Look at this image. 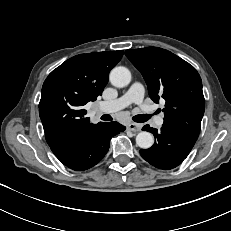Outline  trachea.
Listing matches in <instances>:
<instances>
[{"label": "trachea", "instance_id": "3493384b", "mask_svg": "<svg viewBox=\"0 0 231 231\" xmlns=\"http://www.w3.org/2000/svg\"><path fill=\"white\" fill-rule=\"evenodd\" d=\"M151 115L148 114H139L133 117V120L138 123L146 122L150 119ZM101 119L104 121H111L112 117L108 114L101 116Z\"/></svg>", "mask_w": 231, "mask_h": 231}]
</instances>
